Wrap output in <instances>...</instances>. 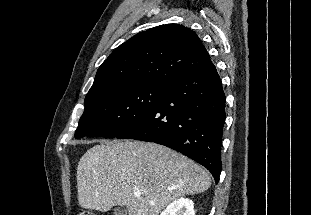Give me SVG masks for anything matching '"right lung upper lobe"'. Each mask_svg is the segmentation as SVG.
Segmentation results:
<instances>
[{
  "label": "right lung upper lobe",
  "instance_id": "right-lung-upper-lobe-1",
  "mask_svg": "<svg viewBox=\"0 0 311 215\" xmlns=\"http://www.w3.org/2000/svg\"><path fill=\"white\" fill-rule=\"evenodd\" d=\"M197 34L180 24H166L140 32L101 64L87 96L112 87L166 84L211 64Z\"/></svg>",
  "mask_w": 311,
  "mask_h": 215
}]
</instances>
